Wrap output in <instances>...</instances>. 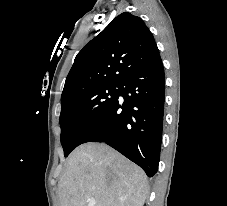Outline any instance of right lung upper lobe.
Instances as JSON below:
<instances>
[{
  "mask_svg": "<svg viewBox=\"0 0 227 206\" xmlns=\"http://www.w3.org/2000/svg\"><path fill=\"white\" fill-rule=\"evenodd\" d=\"M157 57L158 47L144 21L124 12L77 54L61 100L89 88L120 84L129 73Z\"/></svg>",
  "mask_w": 227,
  "mask_h": 206,
  "instance_id": "obj_1",
  "label": "right lung upper lobe"
}]
</instances>
